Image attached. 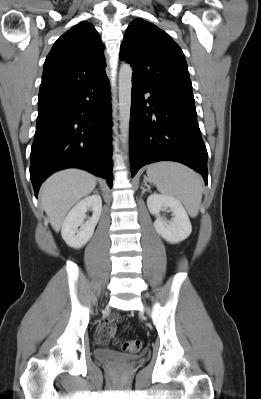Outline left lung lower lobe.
I'll return each instance as SVG.
<instances>
[{
	"instance_id": "obj_1",
	"label": "left lung lower lobe",
	"mask_w": 261,
	"mask_h": 399,
	"mask_svg": "<svg viewBox=\"0 0 261 399\" xmlns=\"http://www.w3.org/2000/svg\"><path fill=\"white\" fill-rule=\"evenodd\" d=\"M129 154L132 176L146 164L172 160L199 172L207 184V150L193 94L155 89L132 78Z\"/></svg>"
}]
</instances>
